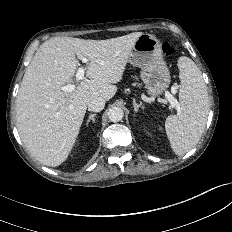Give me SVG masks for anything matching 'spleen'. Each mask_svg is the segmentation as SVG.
Wrapping results in <instances>:
<instances>
[{
    "mask_svg": "<svg viewBox=\"0 0 232 232\" xmlns=\"http://www.w3.org/2000/svg\"><path fill=\"white\" fill-rule=\"evenodd\" d=\"M178 67L181 112L167 117L165 129L173 152L183 155L200 140L206 126L209 104L207 88L197 65L190 58L182 56L178 59Z\"/></svg>",
    "mask_w": 232,
    "mask_h": 232,
    "instance_id": "1",
    "label": "spleen"
}]
</instances>
